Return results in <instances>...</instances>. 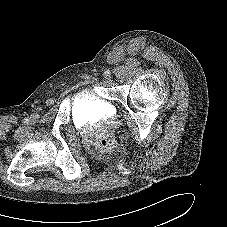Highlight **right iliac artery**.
<instances>
[{"label":"right iliac artery","mask_w":227,"mask_h":227,"mask_svg":"<svg viewBox=\"0 0 227 227\" xmlns=\"http://www.w3.org/2000/svg\"><path fill=\"white\" fill-rule=\"evenodd\" d=\"M25 121H26V122H28V121H29V119H25Z\"/></svg>","instance_id":"82829eb1"}]
</instances>
